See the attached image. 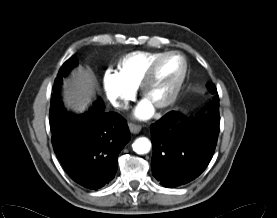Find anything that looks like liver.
I'll return each mask as SVG.
<instances>
[{
    "label": "liver",
    "mask_w": 277,
    "mask_h": 218,
    "mask_svg": "<svg viewBox=\"0 0 277 218\" xmlns=\"http://www.w3.org/2000/svg\"><path fill=\"white\" fill-rule=\"evenodd\" d=\"M95 76L88 69L79 67L72 78L64 82V101L66 107L75 112L85 111L94 98Z\"/></svg>",
    "instance_id": "obj_1"
}]
</instances>
